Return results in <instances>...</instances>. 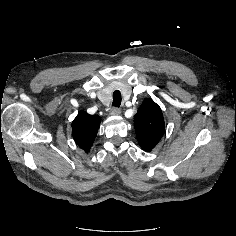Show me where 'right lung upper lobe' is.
I'll return each instance as SVG.
<instances>
[{"label":"right lung upper lobe","mask_w":236,"mask_h":236,"mask_svg":"<svg viewBox=\"0 0 236 236\" xmlns=\"http://www.w3.org/2000/svg\"><path fill=\"white\" fill-rule=\"evenodd\" d=\"M101 118L81 111L72 122V134L77 145L88 152L97 135Z\"/></svg>","instance_id":"obj_1"}]
</instances>
